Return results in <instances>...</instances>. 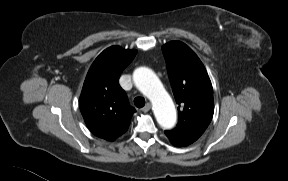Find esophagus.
Masks as SVG:
<instances>
[{
  "label": "esophagus",
  "instance_id": "esophagus-1",
  "mask_svg": "<svg viewBox=\"0 0 288 181\" xmlns=\"http://www.w3.org/2000/svg\"><path fill=\"white\" fill-rule=\"evenodd\" d=\"M150 109H151V104H150V103H147V104L142 108V111L146 113V112H148Z\"/></svg>",
  "mask_w": 288,
  "mask_h": 181
}]
</instances>
